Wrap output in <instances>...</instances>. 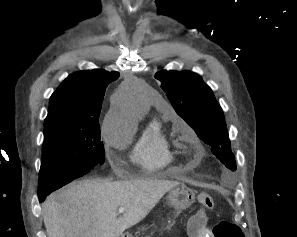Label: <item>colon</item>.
Here are the masks:
<instances>
[{"label":"colon","mask_w":297,"mask_h":237,"mask_svg":"<svg viewBox=\"0 0 297 237\" xmlns=\"http://www.w3.org/2000/svg\"><path fill=\"white\" fill-rule=\"evenodd\" d=\"M198 202L203 211H210L214 207L213 197L208 193H200ZM204 218L198 217L192 224L195 232L203 225ZM214 237H244V234L239 226L229 221H220L213 228Z\"/></svg>","instance_id":"obj_1"}]
</instances>
